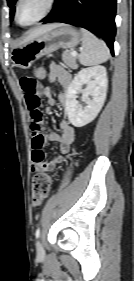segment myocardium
Segmentation results:
<instances>
[{
	"mask_svg": "<svg viewBox=\"0 0 134 281\" xmlns=\"http://www.w3.org/2000/svg\"><path fill=\"white\" fill-rule=\"evenodd\" d=\"M22 1L23 0H17V2L15 4V11H14L15 21L18 25H20L22 27H30V26L38 24L40 21H42L44 18H46L53 11V9L55 8L56 3H57V0H48L46 9L43 11V13L37 19H35L34 21H32L29 24H22L19 21V17H18L19 7H20V4L22 3Z\"/></svg>",
	"mask_w": 134,
	"mask_h": 281,
	"instance_id": "1",
	"label": "myocardium"
}]
</instances>
